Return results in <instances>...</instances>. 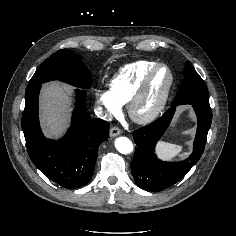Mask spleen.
Returning a JSON list of instances; mask_svg holds the SVG:
<instances>
[{
	"mask_svg": "<svg viewBox=\"0 0 236 236\" xmlns=\"http://www.w3.org/2000/svg\"><path fill=\"white\" fill-rule=\"evenodd\" d=\"M182 152V146L159 141L157 153L164 159H172Z\"/></svg>",
	"mask_w": 236,
	"mask_h": 236,
	"instance_id": "3e777b00",
	"label": "spleen"
}]
</instances>
